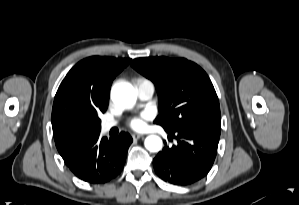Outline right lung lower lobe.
<instances>
[{"label": "right lung lower lobe", "instance_id": "98d812e1", "mask_svg": "<svg viewBox=\"0 0 299 205\" xmlns=\"http://www.w3.org/2000/svg\"><path fill=\"white\" fill-rule=\"evenodd\" d=\"M100 133L87 137L62 156L65 164L81 180L89 183H105L120 174L127 151L132 143L128 133L116 138L100 139Z\"/></svg>", "mask_w": 299, "mask_h": 205}]
</instances>
